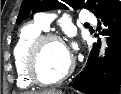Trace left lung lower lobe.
<instances>
[{
    "label": "left lung lower lobe",
    "instance_id": "0a47b994",
    "mask_svg": "<svg viewBox=\"0 0 121 94\" xmlns=\"http://www.w3.org/2000/svg\"><path fill=\"white\" fill-rule=\"evenodd\" d=\"M108 38L103 59L98 60L100 41L90 52L85 68L69 86L87 94H119L121 84V7L102 19ZM100 25V23H99Z\"/></svg>",
    "mask_w": 121,
    "mask_h": 94
}]
</instances>
